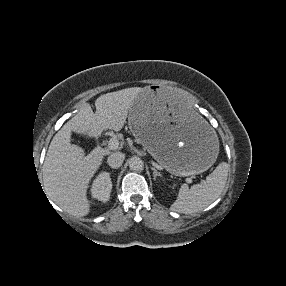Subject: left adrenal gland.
Segmentation results:
<instances>
[{"label":"left adrenal gland","instance_id":"left-adrenal-gland-1","mask_svg":"<svg viewBox=\"0 0 286 286\" xmlns=\"http://www.w3.org/2000/svg\"><path fill=\"white\" fill-rule=\"evenodd\" d=\"M151 169L153 170V179L154 180H156L157 177H162L160 172H158L154 167H151Z\"/></svg>","mask_w":286,"mask_h":286}]
</instances>
